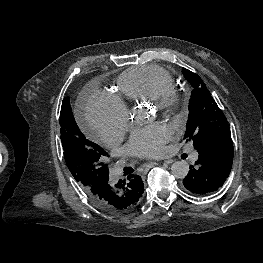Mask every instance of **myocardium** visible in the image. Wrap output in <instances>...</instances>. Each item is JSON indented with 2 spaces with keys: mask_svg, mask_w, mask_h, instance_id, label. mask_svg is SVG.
I'll list each match as a JSON object with an SVG mask.
<instances>
[{
  "mask_svg": "<svg viewBox=\"0 0 263 263\" xmlns=\"http://www.w3.org/2000/svg\"><path fill=\"white\" fill-rule=\"evenodd\" d=\"M150 102L159 111L176 114L185 104V97L175 88H165L161 90Z\"/></svg>",
  "mask_w": 263,
  "mask_h": 263,
  "instance_id": "1",
  "label": "myocardium"
}]
</instances>
